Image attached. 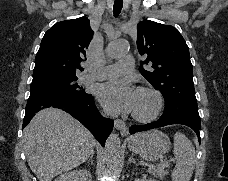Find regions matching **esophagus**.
I'll list each match as a JSON object with an SVG mask.
<instances>
[{"mask_svg":"<svg viewBox=\"0 0 228 181\" xmlns=\"http://www.w3.org/2000/svg\"><path fill=\"white\" fill-rule=\"evenodd\" d=\"M114 126L120 131L121 135L124 136L127 133L126 124L121 119L115 120Z\"/></svg>","mask_w":228,"mask_h":181,"instance_id":"34e87169","label":"esophagus"}]
</instances>
